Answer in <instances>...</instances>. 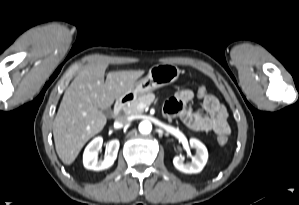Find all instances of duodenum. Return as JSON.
<instances>
[{
    "mask_svg": "<svg viewBox=\"0 0 299 205\" xmlns=\"http://www.w3.org/2000/svg\"><path fill=\"white\" fill-rule=\"evenodd\" d=\"M127 101H128V97H123L119 99L114 105V113L118 114L122 110L124 105L127 103Z\"/></svg>",
    "mask_w": 299,
    "mask_h": 205,
    "instance_id": "410a0bca",
    "label": "duodenum"
}]
</instances>
